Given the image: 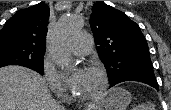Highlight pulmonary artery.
Returning a JSON list of instances; mask_svg holds the SVG:
<instances>
[{"label": "pulmonary artery", "mask_w": 171, "mask_h": 110, "mask_svg": "<svg viewBox=\"0 0 171 110\" xmlns=\"http://www.w3.org/2000/svg\"><path fill=\"white\" fill-rule=\"evenodd\" d=\"M93 46V40L88 33H79L74 36L70 43L71 51L78 55H84L90 52Z\"/></svg>", "instance_id": "1"}]
</instances>
